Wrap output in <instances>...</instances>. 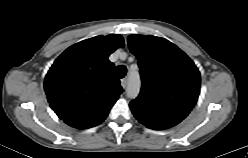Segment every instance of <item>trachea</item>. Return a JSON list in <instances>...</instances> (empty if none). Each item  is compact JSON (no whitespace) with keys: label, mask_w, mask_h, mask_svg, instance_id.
I'll return each mask as SVG.
<instances>
[{"label":"trachea","mask_w":248,"mask_h":158,"mask_svg":"<svg viewBox=\"0 0 248 158\" xmlns=\"http://www.w3.org/2000/svg\"><path fill=\"white\" fill-rule=\"evenodd\" d=\"M116 73H117L118 78H124V76H125L126 73H127L126 66H124V65H119V66L116 68Z\"/></svg>","instance_id":"1"}]
</instances>
